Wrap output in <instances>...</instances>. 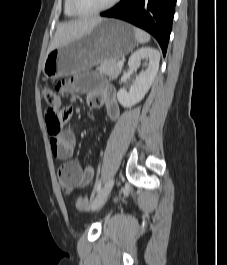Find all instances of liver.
Returning <instances> with one entry per match:
<instances>
[{"instance_id":"6515ba94","label":"liver","mask_w":227,"mask_h":265,"mask_svg":"<svg viewBox=\"0 0 227 265\" xmlns=\"http://www.w3.org/2000/svg\"><path fill=\"white\" fill-rule=\"evenodd\" d=\"M102 20L101 18L78 19L59 24L54 38L48 47L47 54L56 47L90 33Z\"/></svg>"}]
</instances>
